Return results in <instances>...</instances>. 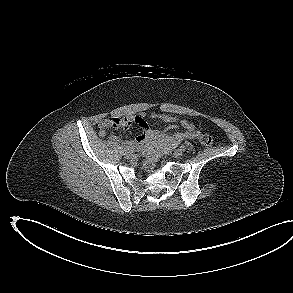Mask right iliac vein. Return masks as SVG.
<instances>
[{
	"label": "right iliac vein",
	"instance_id": "63e3f726",
	"mask_svg": "<svg viewBox=\"0 0 293 293\" xmlns=\"http://www.w3.org/2000/svg\"><path fill=\"white\" fill-rule=\"evenodd\" d=\"M124 155L127 157H132L134 155V151L133 150H127L124 152Z\"/></svg>",
	"mask_w": 293,
	"mask_h": 293
}]
</instances>
